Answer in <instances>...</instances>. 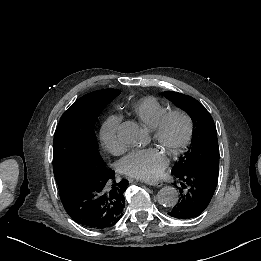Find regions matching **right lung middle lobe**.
Masks as SVG:
<instances>
[{
    "label": "right lung middle lobe",
    "instance_id": "1",
    "mask_svg": "<svg viewBox=\"0 0 261 261\" xmlns=\"http://www.w3.org/2000/svg\"><path fill=\"white\" fill-rule=\"evenodd\" d=\"M119 94L117 89L91 92L62 115L54 134L53 150V171L58 186L78 169L94 173L105 166L98 151L94 125L106 105Z\"/></svg>",
    "mask_w": 261,
    "mask_h": 261
}]
</instances>
